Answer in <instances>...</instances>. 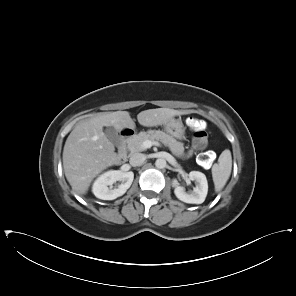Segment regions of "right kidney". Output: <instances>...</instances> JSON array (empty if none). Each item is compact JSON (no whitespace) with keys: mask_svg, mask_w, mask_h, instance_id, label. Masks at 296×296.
<instances>
[{"mask_svg":"<svg viewBox=\"0 0 296 296\" xmlns=\"http://www.w3.org/2000/svg\"><path fill=\"white\" fill-rule=\"evenodd\" d=\"M134 179L132 171L123 172L121 170H109L101 174L93 183L92 191L94 195L101 200H114L130 188ZM120 181L117 188L113 184Z\"/></svg>","mask_w":296,"mask_h":296,"instance_id":"obj_1","label":"right kidney"}]
</instances>
